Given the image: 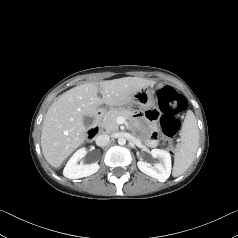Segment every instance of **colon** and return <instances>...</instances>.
<instances>
[{
    "instance_id": "obj_1",
    "label": "colon",
    "mask_w": 238,
    "mask_h": 238,
    "mask_svg": "<svg viewBox=\"0 0 238 238\" xmlns=\"http://www.w3.org/2000/svg\"><path fill=\"white\" fill-rule=\"evenodd\" d=\"M158 109L162 113L160 120L162 139L161 147L166 150L172 148V137L180 128L177 115L187 108V101L174 88L164 86L157 92Z\"/></svg>"
}]
</instances>
